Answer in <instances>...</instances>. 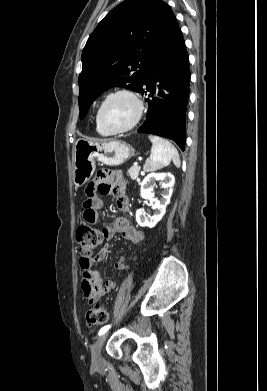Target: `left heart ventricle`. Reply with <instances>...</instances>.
Instances as JSON below:
<instances>
[{"instance_id": "1", "label": "left heart ventricle", "mask_w": 267, "mask_h": 391, "mask_svg": "<svg viewBox=\"0 0 267 391\" xmlns=\"http://www.w3.org/2000/svg\"><path fill=\"white\" fill-rule=\"evenodd\" d=\"M136 114L134 102L127 96L119 95L111 98L103 108V120L111 128L127 126Z\"/></svg>"}]
</instances>
